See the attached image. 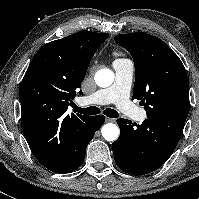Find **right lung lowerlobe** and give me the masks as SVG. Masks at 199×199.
<instances>
[{
  "instance_id": "right-lung-lower-lobe-1",
  "label": "right lung lower lobe",
  "mask_w": 199,
  "mask_h": 199,
  "mask_svg": "<svg viewBox=\"0 0 199 199\" xmlns=\"http://www.w3.org/2000/svg\"><path fill=\"white\" fill-rule=\"evenodd\" d=\"M104 122L103 115L86 118L59 146H47L48 143L34 133H25V137L32 153L44 167L55 173H70L82 165L88 143Z\"/></svg>"
}]
</instances>
